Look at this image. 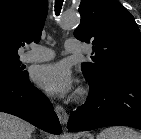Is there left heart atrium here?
I'll list each match as a JSON object with an SVG mask.
<instances>
[{"label":"left heart atrium","instance_id":"obj_1","mask_svg":"<svg viewBox=\"0 0 141 139\" xmlns=\"http://www.w3.org/2000/svg\"><path fill=\"white\" fill-rule=\"evenodd\" d=\"M33 81L43 91L54 96H64L72 90L73 77L64 63L43 65L32 74Z\"/></svg>","mask_w":141,"mask_h":139}]
</instances>
